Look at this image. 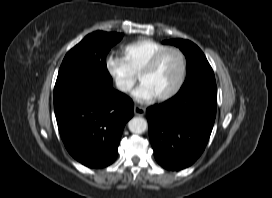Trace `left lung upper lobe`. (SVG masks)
I'll use <instances>...</instances> for the list:
<instances>
[{
	"instance_id": "left-lung-upper-lobe-1",
	"label": "left lung upper lobe",
	"mask_w": 272,
	"mask_h": 198,
	"mask_svg": "<svg viewBox=\"0 0 272 198\" xmlns=\"http://www.w3.org/2000/svg\"><path fill=\"white\" fill-rule=\"evenodd\" d=\"M164 43L179 47L186 56L187 77L181 89L194 84L215 82L210 64L203 52L194 43L183 39H171L164 41Z\"/></svg>"
}]
</instances>
